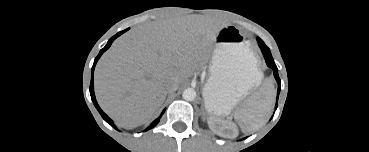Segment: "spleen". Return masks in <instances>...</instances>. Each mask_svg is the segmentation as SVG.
I'll list each match as a JSON object with an SVG mask.
<instances>
[{
    "label": "spleen",
    "mask_w": 369,
    "mask_h": 152,
    "mask_svg": "<svg viewBox=\"0 0 369 152\" xmlns=\"http://www.w3.org/2000/svg\"><path fill=\"white\" fill-rule=\"evenodd\" d=\"M275 97L274 85L266 83L234 112V118L242 131L254 132L265 123L273 109Z\"/></svg>",
    "instance_id": "1"
}]
</instances>
